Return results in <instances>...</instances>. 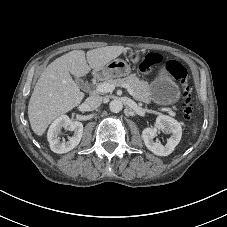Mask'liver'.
Returning a JSON list of instances; mask_svg holds the SVG:
<instances>
[{
    "instance_id": "obj_1",
    "label": "liver",
    "mask_w": 227,
    "mask_h": 227,
    "mask_svg": "<svg viewBox=\"0 0 227 227\" xmlns=\"http://www.w3.org/2000/svg\"><path fill=\"white\" fill-rule=\"evenodd\" d=\"M125 50L123 46H106L89 50H73L50 63L35 84L28 104V118L35 134L42 136L49 124L77 107L84 93L73 80L91 69L99 71Z\"/></svg>"
}]
</instances>
